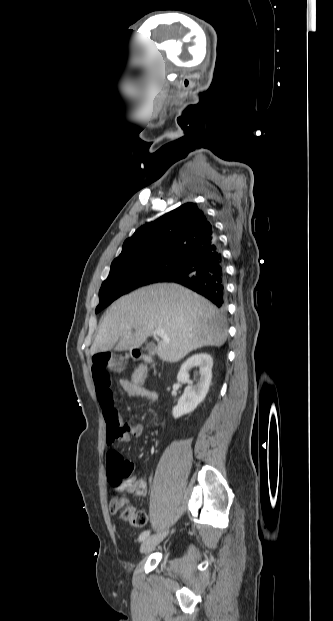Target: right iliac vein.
Listing matches in <instances>:
<instances>
[{
  "instance_id": "63e3f726",
  "label": "right iliac vein",
  "mask_w": 333,
  "mask_h": 621,
  "mask_svg": "<svg viewBox=\"0 0 333 621\" xmlns=\"http://www.w3.org/2000/svg\"><path fill=\"white\" fill-rule=\"evenodd\" d=\"M167 533L168 531H163L146 538L140 546V552L146 553L155 548L165 538Z\"/></svg>"
}]
</instances>
